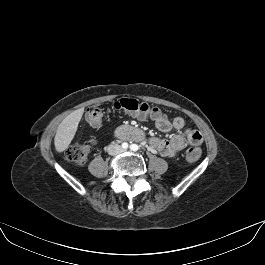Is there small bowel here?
<instances>
[{
  "label": "small bowel",
  "mask_w": 265,
  "mask_h": 265,
  "mask_svg": "<svg viewBox=\"0 0 265 265\" xmlns=\"http://www.w3.org/2000/svg\"><path fill=\"white\" fill-rule=\"evenodd\" d=\"M144 121L151 119L156 128L161 132L181 131L186 127V121L182 117L169 119L164 115L159 117H147L140 114L134 115ZM150 146L165 157H175L187 144L199 146L202 143V135L194 129H185L184 133L173 134L170 138L152 137L149 139Z\"/></svg>",
  "instance_id": "1"
}]
</instances>
